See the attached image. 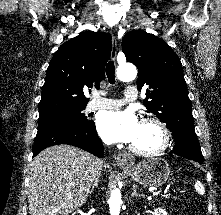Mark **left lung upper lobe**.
<instances>
[{"instance_id": "obj_1", "label": "left lung upper lobe", "mask_w": 221, "mask_h": 215, "mask_svg": "<svg viewBox=\"0 0 221 215\" xmlns=\"http://www.w3.org/2000/svg\"><path fill=\"white\" fill-rule=\"evenodd\" d=\"M127 61L139 71L137 87L148 86L144 105L172 132L196 136L182 64L162 39L143 31H131L122 40Z\"/></svg>"}]
</instances>
